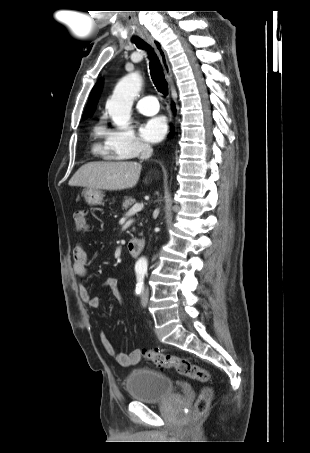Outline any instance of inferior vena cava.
<instances>
[{"instance_id": "602c4592", "label": "inferior vena cava", "mask_w": 310, "mask_h": 453, "mask_svg": "<svg viewBox=\"0 0 310 453\" xmlns=\"http://www.w3.org/2000/svg\"><path fill=\"white\" fill-rule=\"evenodd\" d=\"M152 153H153V149L151 148V146L148 144H144L142 146V152H141L140 159L141 160L148 159L151 157Z\"/></svg>"}]
</instances>
